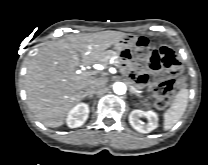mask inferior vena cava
Masks as SVG:
<instances>
[{
  "label": "inferior vena cava",
  "mask_w": 208,
  "mask_h": 165,
  "mask_svg": "<svg viewBox=\"0 0 208 165\" xmlns=\"http://www.w3.org/2000/svg\"><path fill=\"white\" fill-rule=\"evenodd\" d=\"M103 86H104V81L103 80L95 79L88 86L87 93L94 94L98 89L102 88Z\"/></svg>",
  "instance_id": "1"
}]
</instances>
